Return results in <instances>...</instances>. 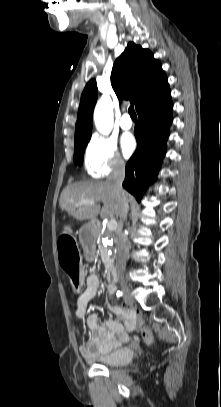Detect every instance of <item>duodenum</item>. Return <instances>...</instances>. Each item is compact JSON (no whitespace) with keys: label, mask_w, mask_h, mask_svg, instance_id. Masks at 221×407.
<instances>
[{"label":"duodenum","mask_w":221,"mask_h":407,"mask_svg":"<svg viewBox=\"0 0 221 407\" xmlns=\"http://www.w3.org/2000/svg\"><path fill=\"white\" fill-rule=\"evenodd\" d=\"M106 276L110 283H115L118 280L117 271L113 267L108 268Z\"/></svg>","instance_id":"1"}]
</instances>
